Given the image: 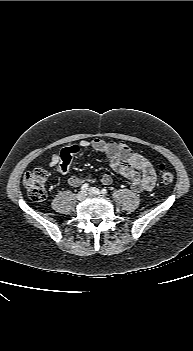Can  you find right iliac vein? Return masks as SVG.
Listing matches in <instances>:
<instances>
[{"instance_id":"63e3f726","label":"right iliac vein","mask_w":193,"mask_h":351,"mask_svg":"<svg viewBox=\"0 0 193 351\" xmlns=\"http://www.w3.org/2000/svg\"><path fill=\"white\" fill-rule=\"evenodd\" d=\"M86 195H87L86 191H80V192L77 194V199H78V200H83V199H85Z\"/></svg>"}]
</instances>
